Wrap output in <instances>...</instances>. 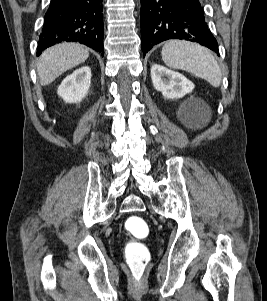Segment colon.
I'll list each match as a JSON object with an SVG mask.
<instances>
[{
  "label": "colon",
  "instance_id": "1",
  "mask_svg": "<svg viewBox=\"0 0 267 301\" xmlns=\"http://www.w3.org/2000/svg\"><path fill=\"white\" fill-rule=\"evenodd\" d=\"M125 226L128 233L136 239H143L149 233L147 223L139 216H130ZM126 259L133 279L140 282L150 259L147 246L138 241L129 242L126 246Z\"/></svg>",
  "mask_w": 267,
  "mask_h": 301
}]
</instances>
